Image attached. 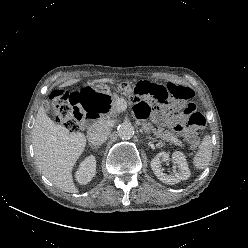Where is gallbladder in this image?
I'll return each instance as SVG.
<instances>
[{
	"label": "gallbladder",
	"mask_w": 248,
	"mask_h": 248,
	"mask_svg": "<svg viewBox=\"0 0 248 248\" xmlns=\"http://www.w3.org/2000/svg\"><path fill=\"white\" fill-rule=\"evenodd\" d=\"M43 108L46 110V111H50V109H51V105H50V103L48 102V101H45V102H43Z\"/></svg>",
	"instance_id": "obj_1"
}]
</instances>
